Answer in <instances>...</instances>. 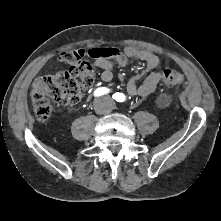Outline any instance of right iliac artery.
<instances>
[{
	"label": "right iliac artery",
	"mask_w": 221,
	"mask_h": 221,
	"mask_svg": "<svg viewBox=\"0 0 221 221\" xmlns=\"http://www.w3.org/2000/svg\"><path fill=\"white\" fill-rule=\"evenodd\" d=\"M109 91H110V90H109L108 88H106V87H100V88H98V89L95 90L94 96H95V97H99V96H102V95H104V94L109 93Z\"/></svg>",
	"instance_id": "1"
}]
</instances>
